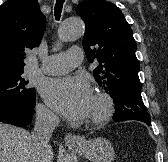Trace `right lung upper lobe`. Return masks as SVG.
I'll return each mask as SVG.
<instances>
[{
  "mask_svg": "<svg viewBox=\"0 0 168 162\" xmlns=\"http://www.w3.org/2000/svg\"><path fill=\"white\" fill-rule=\"evenodd\" d=\"M45 25L37 0H8L0 6V75L23 71L25 51L39 45Z\"/></svg>",
  "mask_w": 168,
  "mask_h": 162,
  "instance_id": "1",
  "label": "right lung upper lobe"
}]
</instances>
